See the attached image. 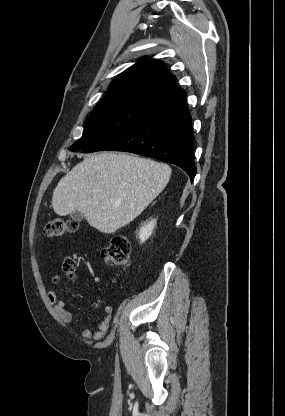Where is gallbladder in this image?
<instances>
[{
	"mask_svg": "<svg viewBox=\"0 0 285 416\" xmlns=\"http://www.w3.org/2000/svg\"><path fill=\"white\" fill-rule=\"evenodd\" d=\"M70 216L75 222H81L84 218L83 214H79V212H71Z\"/></svg>",
	"mask_w": 285,
	"mask_h": 416,
	"instance_id": "1",
	"label": "gallbladder"
}]
</instances>
